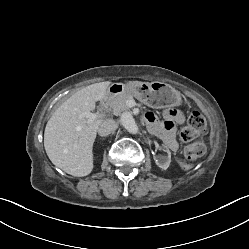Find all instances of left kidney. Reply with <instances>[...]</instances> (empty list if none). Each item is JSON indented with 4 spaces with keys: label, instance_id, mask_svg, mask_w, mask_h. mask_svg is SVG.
<instances>
[{
    "label": "left kidney",
    "instance_id": "1",
    "mask_svg": "<svg viewBox=\"0 0 249 249\" xmlns=\"http://www.w3.org/2000/svg\"><path fill=\"white\" fill-rule=\"evenodd\" d=\"M158 167L163 170H166L171 162V151L169 149H162L161 152L157 154V157L154 158Z\"/></svg>",
    "mask_w": 249,
    "mask_h": 249
}]
</instances>
